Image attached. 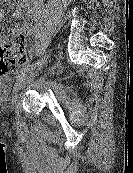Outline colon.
<instances>
[{
  "instance_id": "colon-1",
  "label": "colon",
  "mask_w": 133,
  "mask_h": 173,
  "mask_svg": "<svg viewBox=\"0 0 133 173\" xmlns=\"http://www.w3.org/2000/svg\"><path fill=\"white\" fill-rule=\"evenodd\" d=\"M26 62L22 37L15 36L7 45L0 47V74L8 73Z\"/></svg>"
}]
</instances>
